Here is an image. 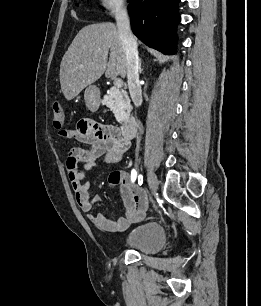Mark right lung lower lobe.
I'll return each mask as SVG.
<instances>
[{
	"label": "right lung lower lobe",
	"instance_id": "obj_1",
	"mask_svg": "<svg viewBox=\"0 0 261 306\" xmlns=\"http://www.w3.org/2000/svg\"><path fill=\"white\" fill-rule=\"evenodd\" d=\"M180 0H130L128 10L134 34L164 54L176 51V26Z\"/></svg>",
	"mask_w": 261,
	"mask_h": 306
}]
</instances>
